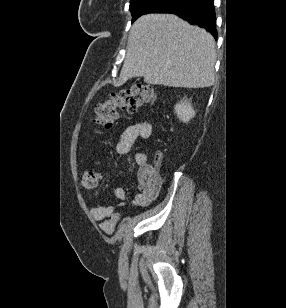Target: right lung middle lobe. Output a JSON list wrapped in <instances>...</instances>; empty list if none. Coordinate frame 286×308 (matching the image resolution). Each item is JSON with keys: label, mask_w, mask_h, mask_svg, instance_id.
I'll list each match as a JSON object with an SVG mask.
<instances>
[{"label": "right lung middle lobe", "mask_w": 286, "mask_h": 308, "mask_svg": "<svg viewBox=\"0 0 286 308\" xmlns=\"http://www.w3.org/2000/svg\"><path fill=\"white\" fill-rule=\"evenodd\" d=\"M168 1L169 0H131L129 10L132 13V21L143 14L153 12Z\"/></svg>", "instance_id": "dd1d6c3e"}]
</instances>
